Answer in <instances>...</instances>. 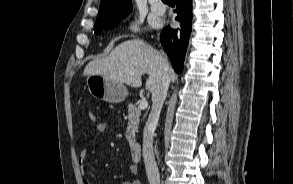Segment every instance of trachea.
Here are the masks:
<instances>
[{
    "label": "trachea",
    "instance_id": "3493384b",
    "mask_svg": "<svg viewBox=\"0 0 293 184\" xmlns=\"http://www.w3.org/2000/svg\"><path fill=\"white\" fill-rule=\"evenodd\" d=\"M163 3H171V0H162Z\"/></svg>",
    "mask_w": 293,
    "mask_h": 184
}]
</instances>
